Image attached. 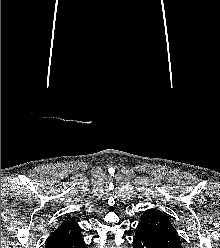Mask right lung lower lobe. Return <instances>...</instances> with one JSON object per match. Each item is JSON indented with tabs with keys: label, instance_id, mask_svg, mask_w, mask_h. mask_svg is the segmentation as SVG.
<instances>
[{
	"label": "right lung lower lobe",
	"instance_id": "obj_1",
	"mask_svg": "<svg viewBox=\"0 0 220 248\" xmlns=\"http://www.w3.org/2000/svg\"><path fill=\"white\" fill-rule=\"evenodd\" d=\"M59 248H85V242L80 237V238L74 239L73 241L65 245L60 246Z\"/></svg>",
	"mask_w": 220,
	"mask_h": 248
}]
</instances>
